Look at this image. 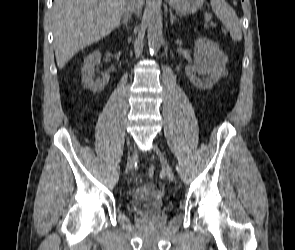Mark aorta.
Returning a JSON list of instances; mask_svg holds the SVG:
<instances>
[{"label":"aorta","instance_id":"aorta-1","mask_svg":"<svg viewBox=\"0 0 295 250\" xmlns=\"http://www.w3.org/2000/svg\"><path fill=\"white\" fill-rule=\"evenodd\" d=\"M162 19L160 15L152 11L147 18V39L150 53H157L163 41Z\"/></svg>","mask_w":295,"mask_h":250}]
</instances>
